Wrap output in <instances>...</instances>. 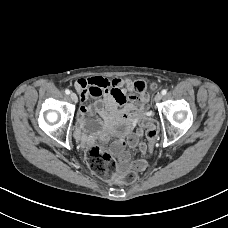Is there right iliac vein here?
<instances>
[{
    "mask_svg": "<svg viewBox=\"0 0 228 228\" xmlns=\"http://www.w3.org/2000/svg\"><path fill=\"white\" fill-rule=\"evenodd\" d=\"M70 98L74 103H76L78 101V97L75 93H71Z\"/></svg>",
    "mask_w": 228,
    "mask_h": 228,
    "instance_id": "1",
    "label": "right iliac vein"
}]
</instances>
